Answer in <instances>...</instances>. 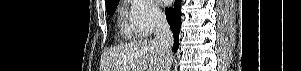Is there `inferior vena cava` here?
<instances>
[{
  "label": "inferior vena cava",
  "instance_id": "1",
  "mask_svg": "<svg viewBox=\"0 0 301 71\" xmlns=\"http://www.w3.org/2000/svg\"><path fill=\"white\" fill-rule=\"evenodd\" d=\"M155 24V41L158 44L162 54L165 56L163 71H170L171 67V47L173 45V34L166 20V16L162 13L154 14Z\"/></svg>",
  "mask_w": 301,
  "mask_h": 71
}]
</instances>
